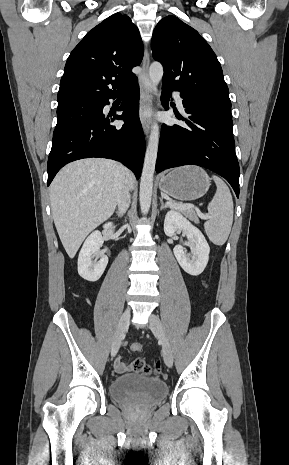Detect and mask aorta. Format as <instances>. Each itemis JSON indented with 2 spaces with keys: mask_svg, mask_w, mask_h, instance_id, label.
<instances>
[{
  "mask_svg": "<svg viewBox=\"0 0 289 465\" xmlns=\"http://www.w3.org/2000/svg\"><path fill=\"white\" fill-rule=\"evenodd\" d=\"M163 77V67L159 62H153L149 68V80L153 91L156 93L157 86ZM159 145V126L153 122L151 126L148 146L145 153L144 165L140 182V209L143 215H146L150 209L153 177L157 160Z\"/></svg>",
  "mask_w": 289,
  "mask_h": 465,
  "instance_id": "aorta-1",
  "label": "aorta"
}]
</instances>
